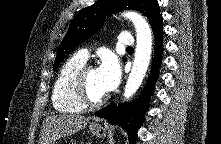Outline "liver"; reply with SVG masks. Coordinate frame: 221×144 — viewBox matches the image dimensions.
I'll return each mask as SVG.
<instances>
[{
    "instance_id": "1",
    "label": "liver",
    "mask_w": 221,
    "mask_h": 144,
    "mask_svg": "<svg viewBox=\"0 0 221 144\" xmlns=\"http://www.w3.org/2000/svg\"><path fill=\"white\" fill-rule=\"evenodd\" d=\"M91 117L78 114H60L46 117L43 122L39 144H54L56 140L70 136L90 121Z\"/></svg>"
}]
</instances>
